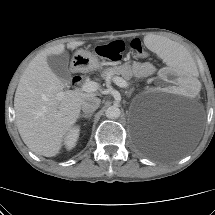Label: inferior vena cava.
<instances>
[{"instance_id":"obj_1","label":"inferior vena cava","mask_w":215,"mask_h":215,"mask_svg":"<svg viewBox=\"0 0 215 215\" xmlns=\"http://www.w3.org/2000/svg\"><path fill=\"white\" fill-rule=\"evenodd\" d=\"M101 100L97 97H89L82 103V111L85 113H92L98 109Z\"/></svg>"}]
</instances>
